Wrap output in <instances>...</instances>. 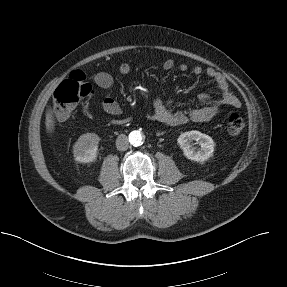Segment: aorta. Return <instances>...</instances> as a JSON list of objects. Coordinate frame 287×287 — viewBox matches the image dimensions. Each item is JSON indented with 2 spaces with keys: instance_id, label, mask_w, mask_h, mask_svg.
<instances>
[{
  "instance_id": "aorta-1",
  "label": "aorta",
  "mask_w": 287,
  "mask_h": 287,
  "mask_svg": "<svg viewBox=\"0 0 287 287\" xmlns=\"http://www.w3.org/2000/svg\"><path fill=\"white\" fill-rule=\"evenodd\" d=\"M142 137L140 131H133L129 135V140L133 145H140L142 143Z\"/></svg>"
}]
</instances>
